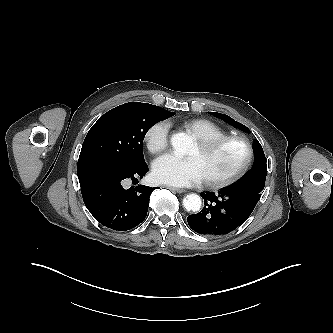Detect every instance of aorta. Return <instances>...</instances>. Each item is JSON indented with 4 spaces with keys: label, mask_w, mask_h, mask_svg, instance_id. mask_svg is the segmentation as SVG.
<instances>
[{
    "label": "aorta",
    "mask_w": 333,
    "mask_h": 333,
    "mask_svg": "<svg viewBox=\"0 0 333 333\" xmlns=\"http://www.w3.org/2000/svg\"><path fill=\"white\" fill-rule=\"evenodd\" d=\"M171 144L177 156L185 155L192 146V139L186 133H175L171 137ZM183 205L187 211L200 210L202 201L199 195L190 194L183 199Z\"/></svg>",
    "instance_id": "762f6f07"
}]
</instances>
